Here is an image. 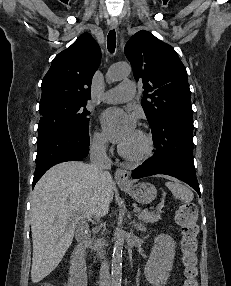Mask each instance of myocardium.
<instances>
[{
  "label": "myocardium",
  "instance_id": "myocardium-1",
  "mask_svg": "<svg viewBox=\"0 0 231 286\" xmlns=\"http://www.w3.org/2000/svg\"><path fill=\"white\" fill-rule=\"evenodd\" d=\"M137 133L140 135L144 142V148L139 153H129L123 148V146H120L118 151L120 155L125 159L131 162L141 163L152 156L154 151V142L152 136L146 131L139 130Z\"/></svg>",
  "mask_w": 231,
  "mask_h": 286
}]
</instances>
